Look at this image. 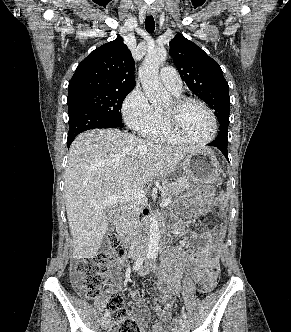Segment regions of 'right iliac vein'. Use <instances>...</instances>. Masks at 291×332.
Segmentation results:
<instances>
[{
  "label": "right iliac vein",
  "instance_id": "63e3f726",
  "mask_svg": "<svg viewBox=\"0 0 291 332\" xmlns=\"http://www.w3.org/2000/svg\"><path fill=\"white\" fill-rule=\"evenodd\" d=\"M109 324H110V318L109 317H104L101 321L102 329L106 330L109 327Z\"/></svg>",
  "mask_w": 291,
  "mask_h": 332
}]
</instances>
